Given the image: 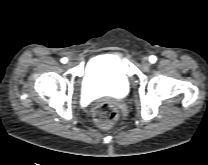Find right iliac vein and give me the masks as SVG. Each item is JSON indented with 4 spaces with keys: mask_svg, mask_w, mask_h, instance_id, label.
Masks as SVG:
<instances>
[{
    "mask_svg": "<svg viewBox=\"0 0 208 165\" xmlns=\"http://www.w3.org/2000/svg\"><path fill=\"white\" fill-rule=\"evenodd\" d=\"M71 64V62H68V65H70Z\"/></svg>",
    "mask_w": 208,
    "mask_h": 165,
    "instance_id": "obj_1",
    "label": "right iliac vein"
}]
</instances>
